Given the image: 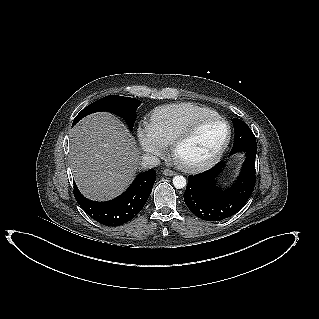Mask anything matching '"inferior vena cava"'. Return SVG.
<instances>
[{"mask_svg":"<svg viewBox=\"0 0 319 319\" xmlns=\"http://www.w3.org/2000/svg\"><path fill=\"white\" fill-rule=\"evenodd\" d=\"M143 168H153L158 165H160V160L156 156H153L151 154H144L142 156V163Z\"/></svg>","mask_w":319,"mask_h":319,"instance_id":"inferior-vena-cava-1","label":"inferior vena cava"}]
</instances>
